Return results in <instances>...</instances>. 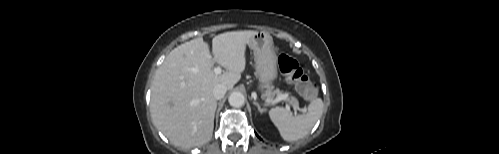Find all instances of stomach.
<instances>
[{
    "label": "stomach",
    "instance_id": "0dacf381",
    "mask_svg": "<svg viewBox=\"0 0 499 154\" xmlns=\"http://www.w3.org/2000/svg\"><path fill=\"white\" fill-rule=\"evenodd\" d=\"M248 45L254 52L258 88L266 92L278 74L273 39L268 32L260 31L250 38Z\"/></svg>",
    "mask_w": 499,
    "mask_h": 154
}]
</instances>
